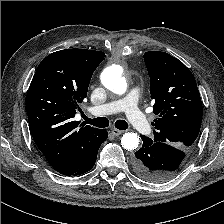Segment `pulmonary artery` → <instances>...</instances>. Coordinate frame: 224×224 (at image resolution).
I'll list each match as a JSON object with an SVG mask.
<instances>
[{
	"mask_svg": "<svg viewBox=\"0 0 224 224\" xmlns=\"http://www.w3.org/2000/svg\"><path fill=\"white\" fill-rule=\"evenodd\" d=\"M139 90L133 88L129 94L122 99H116L106 104L90 109V113L96 116L114 114L125 111L131 124L141 134H148L151 130L148 119L138 108Z\"/></svg>",
	"mask_w": 224,
	"mask_h": 224,
	"instance_id": "1",
	"label": "pulmonary artery"
}]
</instances>
